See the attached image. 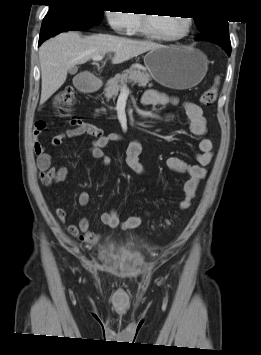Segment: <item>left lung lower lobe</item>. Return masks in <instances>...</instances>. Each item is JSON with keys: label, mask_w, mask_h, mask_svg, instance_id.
I'll list each match as a JSON object with an SVG mask.
<instances>
[{"label": "left lung lower lobe", "mask_w": 261, "mask_h": 355, "mask_svg": "<svg viewBox=\"0 0 261 355\" xmlns=\"http://www.w3.org/2000/svg\"><path fill=\"white\" fill-rule=\"evenodd\" d=\"M223 48V47H222ZM224 49V48H223ZM226 52H227V54L230 56V54H231V50H228V49H224Z\"/></svg>", "instance_id": "left-lung-lower-lobe-1"}]
</instances>
